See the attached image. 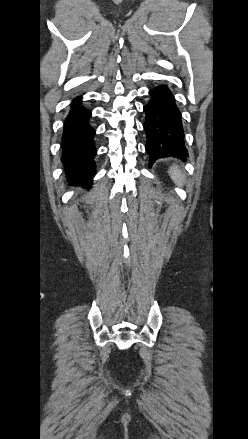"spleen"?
<instances>
[{"mask_svg": "<svg viewBox=\"0 0 248 439\" xmlns=\"http://www.w3.org/2000/svg\"><path fill=\"white\" fill-rule=\"evenodd\" d=\"M169 174H170L172 180L174 181V183L177 186L181 187V186L184 185V183H185V176H184V174L182 173L181 170L177 169V167L171 168L170 171H169Z\"/></svg>", "mask_w": 248, "mask_h": 439, "instance_id": "3e777b00", "label": "spleen"}]
</instances>
